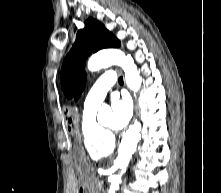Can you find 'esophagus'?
Returning a JSON list of instances; mask_svg holds the SVG:
<instances>
[{
    "label": "esophagus",
    "mask_w": 221,
    "mask_h": 193,
    "mask_svg": "<svg viewBox=\"0 0 221 193\" xmlns=\"http://www.w3.org/2000/svg\"><path fill=\"white\" fill-rule=\"evenodd\" d=\"M133 100H134L133 101V104H134V116H133V120L132 121H135L136 116H137V105H136V99H135L134 95H133Z\"/></svg>",
    "instance_id": "34e87169"
}]
</instances>
